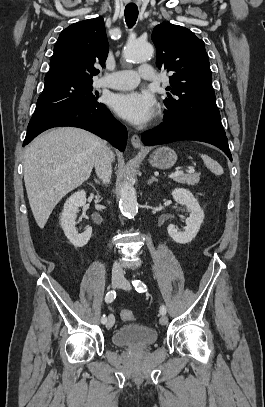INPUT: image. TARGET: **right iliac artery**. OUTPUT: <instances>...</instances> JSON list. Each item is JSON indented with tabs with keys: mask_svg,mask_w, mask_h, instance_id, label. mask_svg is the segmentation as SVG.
<instances>
[{
	"mask_svg": "<svg viewBox=\"0 0 265 407\" xmlns=\"http://www.w3.org/2000/svg\"><path fill=\"white\" fill-rule=\"evenodd\" d=\"M115 298H116V292H115V290H111V291H109V292L106 294L105 302H106V303H111V302H113V300H114ZM106 321H107V318H106L105 315H103V316L101 317V323H102V324H105Z\"/></svg>",
	"mask_w": 265,
	"mask_h": 407,
	"instance_id": "82829eb1",
	"label": "right iliac artery"
}]
</instances>
